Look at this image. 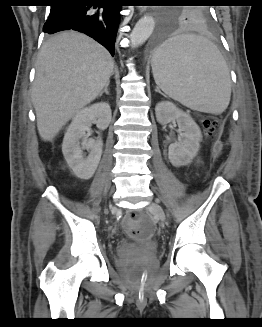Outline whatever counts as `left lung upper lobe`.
<instances>
[{"mask_svg": "<svg viewBox=\"0 0 262 327\" xmlns=\"http://www.w3.org/2000/svg\"><path fill=\"white\" fill-rule=\"evenodd\" d=\"M180 3H202L203 0H178ZM161 29L166 30L178 25H211L212 16L205 6H188L182 9H165L161 13Z\"/></svg>", "mask_w": 262, "mask_h": 327, "instance_id": "left-lung-upper-lobe-1", "label": "left lung upper lobe"}]
</instances>
